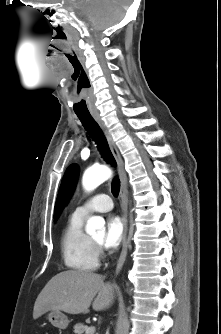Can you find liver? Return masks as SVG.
<instances>
[{
  "instance_id": "liver-1",
  "label": "liver",
  "mask_w": 221,
  "mask_h": 334,
  "mask_svg": "<svg viewBox=\"0 0 221 334\" xmlns=\"http://www.w3.org/2000/svg\"><path fill=\"white\" fill-rule=\"evenodd\" d=\"M116 286L104 282L103 276L85 271L68 270L58 273L38 295L33 318L37 319L51 310L69 314L88 313L109 308L115 298Z\"/></svg>"
}]
</instances>
